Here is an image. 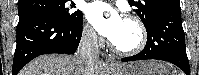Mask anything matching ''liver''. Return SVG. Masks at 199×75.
Listing matches in <instances>:
<instances>
[{
    "instance_id": "1",
    "label": "liver",
    "mask_w": 199,
    "mask_h": 75,
    "mask_svg": "<svg viewBox=\"0 0 199 75\" xmlns=\"http://www.w3.org/2000/svg\"><path fill=\"white\" fill-rule=\"evenodd\" d=\"M85 67V62L78 54H51L35 58L19 72V75H84ZM94 75H108V69L103 62H96Z\"/></svg>"
}]
</instances>
